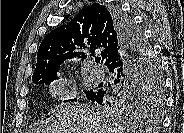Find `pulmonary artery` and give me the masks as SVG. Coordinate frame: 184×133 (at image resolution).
Returning a JSON list of instances; mask_svg holds the SVG:
<instances>
[{
  "label": "pulmonary artery",
  "instance_id": "pulmonary-artery-1",
  "mask_svg": "<svg viewBox=\"0 0 184 133\" xmlns=\"http://www.w3.org/2000/svg\"><path fill=\"white\" fill-rule=\"evenodd\" d=\"M90 75L96 81H102L105 78L104 72L100 69L95 68V67H92L90 69Z\"/></svg>",
  "mask_w": 184,
  "mask_h": 133
}]
</instances>
